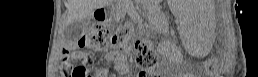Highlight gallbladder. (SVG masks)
<instances>
[{"mask_svg":"<svg viewBox=\"0 0 258 77\" xmlns=\"http://www.w3.org/2000/svg\"><path fill=\"white\" fill-rule=\"evenodd\" d=\"M87 23H88V18L82 21H74L68 24L64 30L65 39L70 42L77 41L82 36V33Z\"/></svg>","mask_w":258,"mask_h":77,"instance_id":"bac80fb5","label":"gallbladder"}]
</instances>
